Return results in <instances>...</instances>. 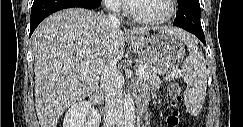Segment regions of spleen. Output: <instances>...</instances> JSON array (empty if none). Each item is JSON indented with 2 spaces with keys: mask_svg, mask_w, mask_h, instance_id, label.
Listing matches in <instances>:
<instances>
[{
  "mask_svg": "<svg viewBox=\"0 0 243 127\" xmlns=\"http://www.w3.org/2000/svg\"><path fill=\"white\" fill-rule=\"evenodd\" d=\"M189 48V56L182 66V73L187 81L184 102L194 115L200 113L207 90V70L202 51L189 38H181Z\"/></svg>",
  "mask_w": 243,
  "mask_h": 127,
  "instance_id": "1",
  "label": "spleen"
}]
</instances>
